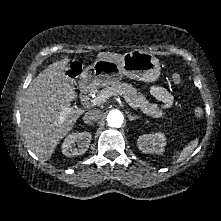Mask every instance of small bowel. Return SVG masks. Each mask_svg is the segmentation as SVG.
I'll list each match as a JSON object with an SVG mask.
<instances>
[{"label":"small bowel","mask_w":221,"mask_h":221,"mask_svg":"<svg viewBox=\"0 0 221 221\" xmlns=\"http://www.w3.org/2000/svg\"><path fill=\"white\" fill-rule=\"evenodd\" d=\"M152 95L159 101L161 108H169L173 103V97L167 89L161 86H151Z\"/></svg>","instance_id":"c3829d8e"}]
</instances>
